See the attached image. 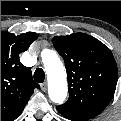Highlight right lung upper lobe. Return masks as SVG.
Returning <instances> with one entry per match:
<instances>
[{
	"mask_svg": "<svg viewBox=\"0 0 121 121\" xmlns=\"http://www.w3.org/2000/svg\"><path fill=\"white\" fill-rule=\"evenodd\" d=\"M38 34L27 32L19 36L1 31V121L15 120L27 104L34 88L30 67L19 60Z\"/></svg>",
	"mask_w": 121,
	"mask_h": 121,
	"instance_id": "obj_1",
	"label": "right lung upper lobe"
}]
</instances>
